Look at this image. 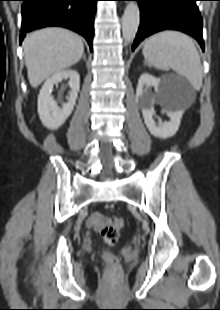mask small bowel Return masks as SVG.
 I'll return each instance as SVG.
<instances>
[{"instance_id": "small-bowel-1", "label": "small bowel", "mask_w": 220, "mask_h": 310, "mask_svg": "<svg viewBox=\"0 0 220 310\" xmlns=\"http://www.w3.org/2000/svg\"><path fill=\"white\" fill-rule=\"evenodd\" d=\"M107 220V217L104 215L98 212H94L88 219V225L95 229H99L106 223Z\"/></svg>"}]
</instances>
